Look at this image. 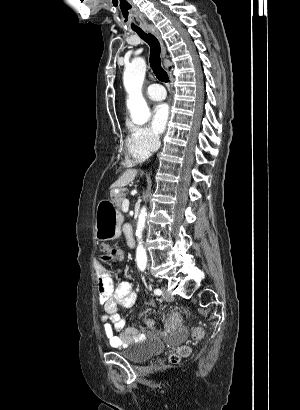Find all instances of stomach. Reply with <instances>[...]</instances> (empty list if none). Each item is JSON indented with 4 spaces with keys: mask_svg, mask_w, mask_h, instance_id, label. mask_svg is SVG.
<instances>
[{
    "mask_svg": "<svg viewBox=\"0 0 300 410\" xmlns=\"http://www.w3.org/2000/svg\"><path fill=\"white\" fill-rule=\"evenodd\" d=\"M112 197V192H111ZM123 217L116 208L115 202L102 200L97 206L95 219V235L99 241H107L118 238L121 235Z\"/></svg>",
    "mask_w": 300,
    "mask_h": 410,
    "instance_id": "stomach-1",
    "label": "stomach"
}]
</instances>
